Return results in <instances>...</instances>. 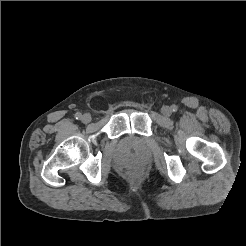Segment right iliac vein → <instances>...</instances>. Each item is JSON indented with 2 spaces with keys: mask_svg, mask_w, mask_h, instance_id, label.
I'll return each instance as SVG.
<instances>
[{
  "mask_svg": "<svg viewBox=\"0 0 246 246\" xmlns=\"http://www.w3.org/2000/svg\"><path fill=\"white\" fill-rule=\"evenodd\" d=\"M81 120H82V122L85 123V124L89 123V122L91 121V116H90V114H88V113L84 114V115L82 116Z\"/></svg>",
  "mask_w": 246,
  "mask_h": 246,
  "instance_id": "obj_1",
  "label": "right iliac vein"
}]
</instances>
